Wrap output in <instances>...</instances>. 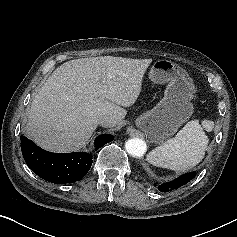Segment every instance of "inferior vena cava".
I'll use <instances>...</instances> for the list:
<instances>
[{
  "label": "inferior vena cava",
  "instance_id": "inferior-vena-cava-1",
  "mask_svg": "<svg viewBox=\"0 0 237 237\" xmlns=\"http://www.w3.org/2000/svg\"><path fill=\"white\" fill-rule=\"evenodd\" d=\"M96 122L99 125H107V124L113 123L114 119L111 116L100 115V116L96 117Z\"/></svg>",
  "mask_w": 237,
  "mask_h": 237
}]
</instances>
